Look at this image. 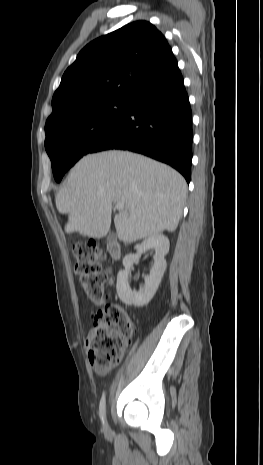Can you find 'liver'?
Returning a JSON list of instances; mask_svg holds the SVG:
<instances>
[{
	"instance_id": "6515ba94",
	"label": "liver",
	"mask_w": 263,
	"mask_h": 465,
	"mask_svg": "<svg viewBox=\"0 0 263 465\" xmlns=\"http://www.w3.org/2000/svg\"><path fill=\"white\" fill-rule=\"evenodd\" d=\"M187 185L177 171L128 151L111 150L84 156L71 169L56 196V207L68 215L65 232L103 237L111 226L114 203L124 209L114 217L124 243L176 230Z\"/></svg>"
}]
</instances>
